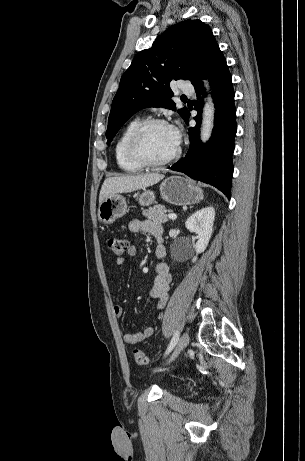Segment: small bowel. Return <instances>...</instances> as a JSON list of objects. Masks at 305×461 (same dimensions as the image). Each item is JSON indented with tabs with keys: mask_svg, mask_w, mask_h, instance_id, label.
I'll return each mask as SVG.
<instances>
[{
	"mask_svg": "<svg viewBox=\"0 0 305 461\" xmlns=\"http://www.w3.org/2000/svg\"><path fill=\"white\" fill-rule=\"evenodd\" d=\"M129 230L133 233H147L155 238L159 239L162 236L163 229L159 223L151 220L132 219L129 222ZM137 254V248L135 246H129L126 251L128 257H135ZM155 256L159 260L156 264V276L153 285L150 289L149 295L155 300V309L162 310L169 298L170 285L172 282V276L170 274L169 266L164 261L166 256V249L163 245L158 244L155 248ZM125 257L121 256L116 259V264L122 267L125 264ZM113 313L116 316L123 314V308L121 305H113ZM155 328L150 326L146 327L142 331L137 332H126L123 335V339L127 344L136 345L145 338L153 336Z\"/></svg>",
	"mask_w": 305,
	"mask_h": 461,
	"instance_id": "small-bowel-1",
	"label": "small bowel"
}]
</instances>
